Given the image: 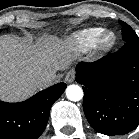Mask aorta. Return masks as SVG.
<instances>
[{"instance_id": "obj_1", "label": "aorta", "mask_w": 139, "mask_h": 139, "mask_svg": "<svg viewBox=\"0 0 139 139\" xmlns=\"http://www.w3.org/2000/svg\"><path fill=\"white\" fill-rule=\"evenodd\" d=\"M66 96L70 101H80L83 98V90L79 85H69L66 88Z\"/></svg>"}]
</instances>
